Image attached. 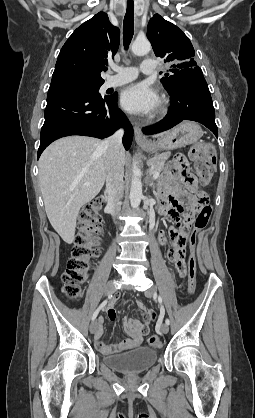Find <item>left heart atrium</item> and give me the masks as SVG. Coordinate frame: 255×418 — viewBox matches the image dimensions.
Segmentation results:
<instances>
[{"label":"left heart atrium","instance_id":"39dd6f15","mask_svg":"<svg viewBox=\"0 0 255 418\" xmlns=\"http://www.w3.org/2000/svg\"><path fill=\"white\" fill-rule=\"evenodd\" d=\"M159 103L157 92L144 82L129 86L121 96L122 107L133 114H147L155 110Z\"/></svg>","mask_w":255,"mask_h":418}]
</instances>
